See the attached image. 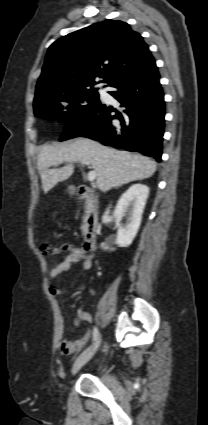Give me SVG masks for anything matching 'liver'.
Returning <instances> with one entry per match:
<instances>
[{"mask_svg": "<svg viewBox=\"0 0 208 425\" xmlns=\"http://www.w3.org/2000/svg\"><path fill=\"white\" fill-rule=\"evenodd\" d=\"M85 161L97 173L96 185L106 192L131 181L151 177L156 171V162L149 157L119 151L100 143L79 138L66 145H45L38 155V170L44 193L50 191L58 182L67 180L74 172L73 162ZM68 162L62 168H53Z\"/></svg>", "mask_w": 208, "mask_h": 425, "instance_id": "6515ba94", "label": "liver"}]
</instances>
